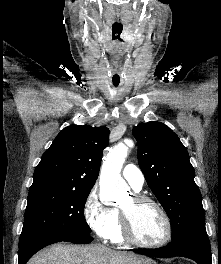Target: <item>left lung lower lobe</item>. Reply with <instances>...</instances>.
Listing matches in <instances>:
<instances>
[{"mask_svg":"<svg viewBox=\"0 0 221 264\" xmlns=\"http://www.w3.org/2000/svg\"><path fill=\"white\" fill-rule=\"evenodd\" d=\"M135 253L151 257L170 258L182 256L198 264H212L211 247L207 234L184 235L157 249H133Z\"/></svg>","mask_w":221,"mask_h":264,"instance_id":"0a47b994","label":"left lung lower lobe"}]
</instances>
